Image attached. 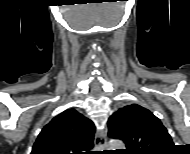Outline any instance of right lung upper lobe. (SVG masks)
<instances>
[{
    "label": "right lung upper lobe",
    "mask_w": 190,
    "mask_h": 154,
    "mask_svg": "<svg viewBox=\"0 0 190 154\" xmlns=\"http://www.w3.org/2000/svg\"><path fill=\"white\" fill-rule=\"evenodd\" d=\"M94 133L90 119L67 109L42 129L31 154H83L93 147Z\"/></svg>",
    "instance_id": "cb5924a9"
}]
</instances>
